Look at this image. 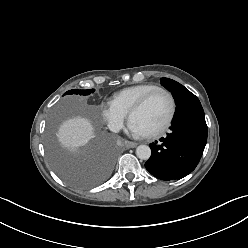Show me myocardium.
Returning a JSON list of instances; mask_svg holds the SVG:
<instances>
[{"label":"myocardium","mask_w":248,"mask_h":248,"mask_svg":"<svg viewBox=\"0 0 248 248\" xmlns=\"http://www.w3.org/2000/svg\"><path fill=\"white\" fill-rule=\"evenodd\" d=\"M157 93H162L164 94L170 103V112L169 115L167 117V119L165 120V122L155 131L145 134V136L147 138L150 139H154V138H158L160 136H162L171 126L174 118H175V114H176V101L174 96L172 95V93L170 91H168L165 88L162 87H157L149 92H147L146 94H144L129 110L128 112V118L131 121V118L133 116V114L135 112H137L138 110H140L141 108H143L146 103Z\"/></svg>","instance_id":"f54148a6"}]
</instances>
